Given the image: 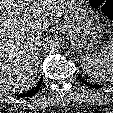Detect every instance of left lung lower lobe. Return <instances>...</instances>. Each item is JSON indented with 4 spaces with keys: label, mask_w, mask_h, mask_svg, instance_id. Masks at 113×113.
Masks as SVG:
<instances>
[{
    "label": "left lung lower lobe",
    "mask_w": 113,
    "mask_h": 113,
    "mask_svg": "<svg viewBox=\"0 0 113 113\" xmlns=\"http://www.w3.org/2000/svg\"><path fill=\"white\" fill-rule=\"evenodd\" d=\"M80 78V77H79ZM84 84H86L85 83V81L84 80H81ZM87 85L88 86H91V87H94V88H100L101 86L100 85H92V84H89V83H87Z\"/></svg>",
    "instance_id": "left-lung-lower-lobe-1"
}]
</instances>
